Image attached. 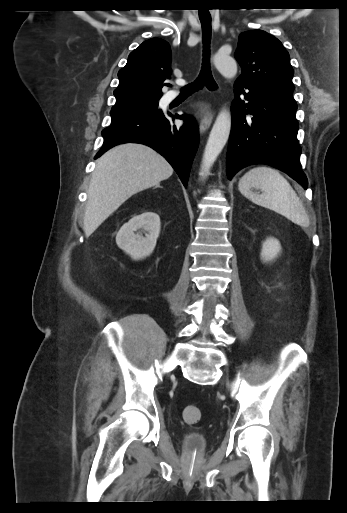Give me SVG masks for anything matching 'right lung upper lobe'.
Returning a JSON list of instances; mask_svg holds the SVG:
<instances>
[{"label": "right lung upper lobe", "mask_w": 347, "mask_h": 513, "mask_svg": "<svg viewBox=\"0 0 347 513\" xmlns=\"http://www.w3.org/2000/svg\"><path fill=\"white\" fill-rule=\"evenodd\" d=\"M171 50L163 39L144 41L132 51L127 64L118 72L119 85L114 91L115 105L162 96V87L170 79Z\"/></svg>", "instance_id": "obj_1"}]
</instances>
